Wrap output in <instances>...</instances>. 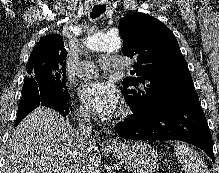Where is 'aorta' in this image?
Segmentation results:
<instances>
[{
	"mask_svg": "<svg viewBox=\"0 0 219 173\" xmlns=\"http://www.w3.org/2000/svg\"><path fill=\"white\" fill-rule=\"evenodd\" d=\"M88 47L93 51L112 52L122 47L120 37L109 33L94 32L88 37Z\"/></svg>",
	"mask_w": 219,
	"mask_h": 173,
	"instance_id": "762f6f07",
	"label": "aorta"
}]
</instances>
